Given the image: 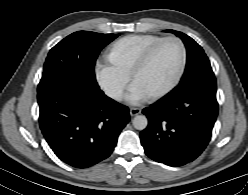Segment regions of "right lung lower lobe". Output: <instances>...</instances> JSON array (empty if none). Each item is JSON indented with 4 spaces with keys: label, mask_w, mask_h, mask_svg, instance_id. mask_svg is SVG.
<instances>
[{
    "label": "right lung lower lobe",
    "mask_w": 248,
    "mask_h": 195,
    "mask_svg": "<svg viewBox=\"0 0 248 195\" xmlns=\"http://www.w3.org/2000/svg\"><path fill=\"white\" fill-rule=\"evenodd\" d=\"M40 128L54 153L75 168H88L108 158L129 109L100 89L61 84L38 93Z\"/></svg>",
    "instance_id": "1"
}]
</instances>
